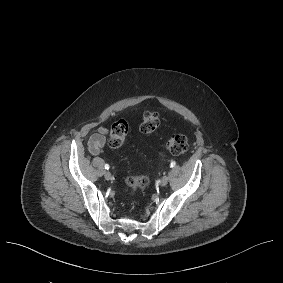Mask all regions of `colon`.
<instances>
[{
    "label": "colon",
    "instance_id": "5ec220e1",
    "mask_svg": "<svg viewBox=\"0 0 283 283\" xmlns=\"http://www.w3.org/2000/svg\"><path fill=\"white\" fill-rule=\"evenodd\" d=\"M160 124L159 114L156 112H146L143 115L140 131L143 134L151 135L153 134ZM129 126L128 123L120 119L116 121L111 129L109 134V145L112 148L121 147L128 136ZM165 146L167 150L173 155H182L188 150V142L184 135L182 134H173L165 141ZM149 184L147 177L143 175H134L130 176L127 179V185L131 188L132 191H137L140 189H145Z\"/></svg>",
    "mask_w": 283,
    "mask_h": 283
}]
</instances>
